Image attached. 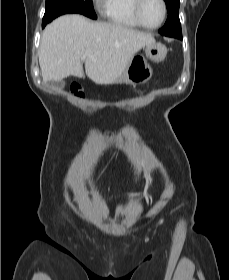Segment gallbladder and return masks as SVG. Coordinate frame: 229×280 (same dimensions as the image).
<instances>
[{"instance_id":"1","label":"gallbladder","mask_w":229,"mask_h":280,"mask_svg":"<svg viewBox=\"0 0 229 280\" xmlns=\"http://www.w3.org/2000/svg\"><path fill=\"white\" fill-rule=\"evenodd\" d=\"M49 85L57 88H64L65 87V82L64 81H50Z\"/></svg>"}]
</instances>
